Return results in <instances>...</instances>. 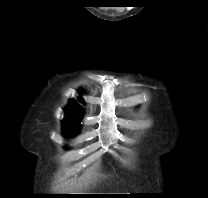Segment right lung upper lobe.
Masks as SVG:
<instances>
[{"label": "right lung upper lobe", "mask_w": 208, "mask_h": 198, "mask_svg": "<svg viewBox=\"0 0 208 198\" xmlns=\"http://www.w3.org/2000/svg\"><path fill=\"white\" fill-rule=\"evenodd\" d=\"M65 113H66L67 118L64 119L63 121L79 122L83 114V109L79 104H77L75 100H71L70 104L65 109Z\"/></svg>", "instance_id": "obj_1"}]
</instances>
